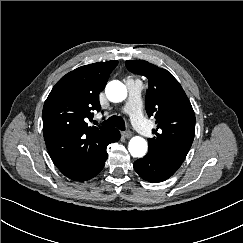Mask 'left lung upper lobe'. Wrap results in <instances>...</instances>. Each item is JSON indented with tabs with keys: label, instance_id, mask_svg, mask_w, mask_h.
<instances>
[{
	"label": "left lung upper lobe",
	"instance_id": "left-lung-upper-lobe-1",
	"mask_svg": "<svg viewBox=\"0 0 243 243\" xmlns=\"http://www.w3.org/2000/svg\"><path fill=\"white\" fill-rule=\"evenodd\" d=\"M127 68L149 80L145 107L156 119L155 137L148 139L149 151L169 164L180 167L192 145L195 115L179 82L167 70L144 60H127Z\"/></svg>",
	"mask_w": 243,
	"mask_h": 243
}]
</instances>
